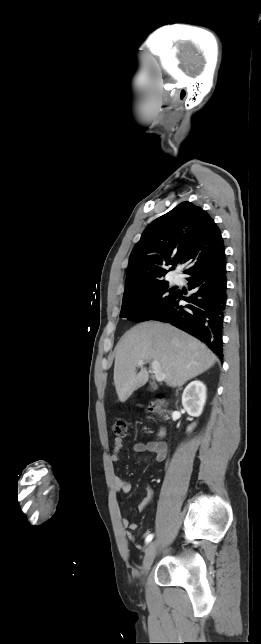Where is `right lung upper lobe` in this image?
Listing matches in <instances>:
<instances>
[{
  "instance_id": "right-lung-upper-lobe-1",
  "label": "right lung upper lobe",
  "mask_w": 261,
  "mask_h": 644,
  "mask_svg": "<svg viewBox=\"0 0 261 644\" xmlns=\"http://www.w3.org/2000/svg\"><path fill=\"white\" fill-rule=\"evenodd\" d=\"M152 249L160 253V259L148 255ZM224 250L221 232L209 214L191 202H182L141 235L129 258L125 288L163 280L172 268L163 269L162 263H180L187 270L221 259Z\"/></svg>"
}]
</instances>
